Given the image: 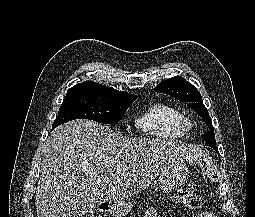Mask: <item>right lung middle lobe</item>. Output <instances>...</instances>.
<instances>
[{
    "label": "right lung middle lobe",
    "instance_id": "obj_1",
    "mask_svg": "<svg viewBox=\"0 0 255 217\" xmlns=\"http://www.w3.org/2000/svg\"><path fill=\"white\" fill-rule=\"evenodd\" d=\"M136 98V96L90 91L67 92L52 129L75 119L116 124Z\"/></svg>",
    "mask_w": 255,
    "mask_h": 217
}]
</instances>
